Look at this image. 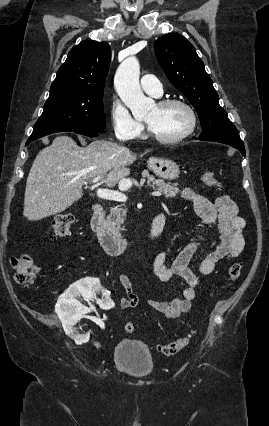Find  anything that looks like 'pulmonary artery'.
I'll list each match as a JSON object with an SVG mask.
<instances>
[{
	"instance_id": "e3ab8cb5",
	"label": "pulmonary artery",
	"mask_w": 269,
	"mask_h": 426,
	"mask_svg": "<svg viewBox=\"0 0 269 426\" xmlns=\"http://www.w3.org/2000/svg\"><path fill=\"white\" fill-rule=\"evenodd\" d=\"M140 85L145 92L153 95L154 97L161 96L163 92L160 80L152 74L142 76L140 79Z\"/></svg>"
}]
</instances>
